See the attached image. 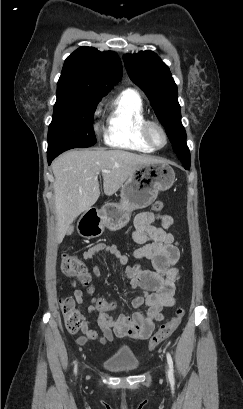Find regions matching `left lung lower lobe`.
<instances>
[{"label":"left lung lower lobe","mask_w":243,"mask_h":409,"mask_svg":"<svg viewBox=\"0 0 243 409\" xmlns=\"http://www.w3.org/2000/svg\"><path fill=\"white\" fill-rule=\"evenodd\" d=\"M184 168H185L186 170H189L190 166H184Z\"/></svg>","instance_id":"0a47b994"}]
</instances>
